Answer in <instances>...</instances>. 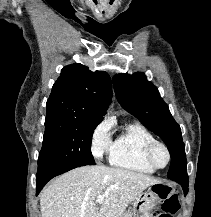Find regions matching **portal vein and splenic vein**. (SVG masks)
Here are the masks:
<instances>
[{
    "instance_id": "1",
    "label": "portal vein and splenic vein",
    "mask_w": 211,
    "mask_h": 217,
    "mask_svg": "<svg viewBox=\"0 0 211 217\" xmlns=\"http://www.w3.org/2000/svg\"><path fill=\"white\" fill-rule=\"evenodd\" d=\"M103 200H104V197H103V196H98V197L96 198V202L99 203V204H101V203L103 202Z\"/></svg>"
}]
</instances>
